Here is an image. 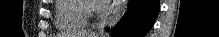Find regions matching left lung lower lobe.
I'll return each mask as SVG.
<instances>
[{
	"label": "left lung lower lobe",
	"mask_w": 219,
	"mask_h": 37,
	"mask_svg": "<svg viewBox=\"0 0 219 37\" xmlns=\"http://www.w3.org/2000/svg\"><path fill=\"white\" fill-rule=\"evenodd\" d=\"M159 0H130L128 11L112 29V37H143L158 15Z\"/></svg>",
	"instance_id": "left-lung-lower-lobe-1"
}]
</instances>
